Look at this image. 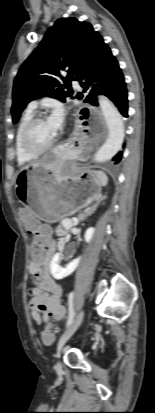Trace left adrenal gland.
Listing matches in <instances>:
<instances>
[{"label":"left adrenal gland","mask_w":155,"mask_h":413,"mask_svg":"<svg viewBox=\"0 0 155 413\" xmlns=\"http://www.w3.org/2000/svg\"><path fill=\"white\" fill-rule=\"evenodd\" d=\"M96 207H97V205H94L90 211H87V212L84 213V214H80L79 218H80V219H83V218H85L86 216L90 215V214L96 209Z\"/></svg>","instance_id":"left-adrenal-gland-1"}]
</instances>
